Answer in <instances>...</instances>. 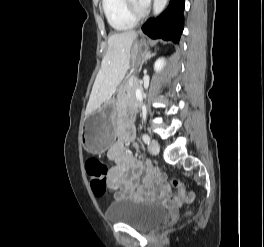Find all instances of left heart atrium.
I'll use <instances>...</instances> for the list:
<instances>
[{
  "instance_id": "obj_1",
  "label": "left heart atrium",
  "mask_w": 264,
  "mask_h": 247,
  "mask_svg": "<svg viewBox=\"0 0 264 247\" xmlns=\"http://www.w3.org/2000/svg\"><path fill=\"white\" fill-rule=\"evenodd\" d=\"M137 1L143 7H146L150 2V0H137Z\"/></svg>"
}]
</instances>
